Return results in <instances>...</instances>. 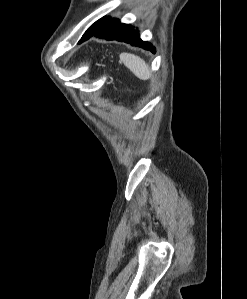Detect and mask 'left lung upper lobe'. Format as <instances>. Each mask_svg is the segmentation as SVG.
Listing matches in <instances>:
<instances>
[{
	"label": "left lung upper lobe",
	"instance_id": "1",
	"mask_svg": "<svg viewBox=\"0 0 247 299\" xmlns=\"http://www.w3.org/2000/svg\"><path fill=\"white\" fill-rule=\"evenodd\" d=\"M108 17H103L102 19H99L98 21H96L94 24H92L87 31L84 33V35H86L87 33H89L90 31L94 30L95 28H97L100 24H102L105 20H107ZM83 35V36H84ZM82 36V37H83Z\"/></svg>",
	"mask_w": 247,
	"mask_h": 299
}]
</instances>
